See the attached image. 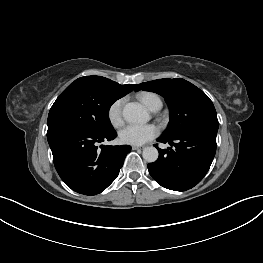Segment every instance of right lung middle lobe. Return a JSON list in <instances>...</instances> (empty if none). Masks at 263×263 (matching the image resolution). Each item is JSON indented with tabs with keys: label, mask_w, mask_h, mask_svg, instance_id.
Listing matches in <instances>:
<instances>
[{
	"label": "right lung middle lobe",
	"mask_w": 263,
	"mask_h": 263,
	"mask_svg": "<svg viewBox=\"0 0 263 263\" xmlns=\"http://www.w3.org/2000/svg\"><path fill=\"white\" fill-rule=\"evenodd\" d=\"M119 97L85 81H74L56 99L48 115L47 135L65 129L107 134L114 129L108 118L110 106Z\"/></svg>",
	"instance_id": "obj_1"
}]
</instances>
